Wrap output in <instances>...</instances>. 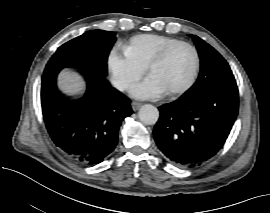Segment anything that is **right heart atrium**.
<instances>
[{
	"mask_svg": "<svg viewBox=\"0 0 270 213\" xmlns=\"http://www.w3.org/2000/svg\"><path fill=\"white\" fill-rule=\"evenodd\" d=\"M109 68L115 85L121 90H129L145 74L146 68L132 61L126 54L113 51L109 56Z\"/></svg>",
	"mask_w": 270,
	"mask_h": 213,
	"instance_id": "1",
	"label": "right heart atrium"
}]
</instances>
